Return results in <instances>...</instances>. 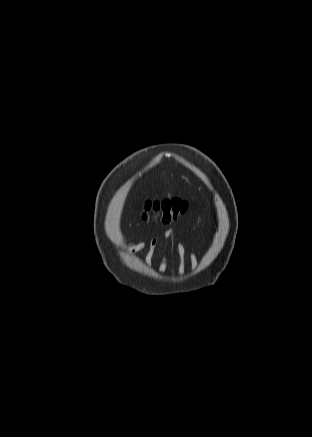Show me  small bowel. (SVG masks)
I'll return each instance as SVG.
<instances>
[{
  "label": "small bowel",
  "mask_w": 312,
  "mask_h": 437,
  "mask_svg": "<svg viewBox=\"0 0 312 437\" xmlns=\"http://www.w3.org/2000/svg\"><path fill=\"white\" fill-rule=\"evenodd\" d=\"M171 235H172V232H170V231L167 232V234H166L167 237H170ZM157 245H158V239L156 237L152 238L148 244L150 255H152L155 252ZM145 247H146V243L135 242L129 246L128 251L130 253H135V252L143 250Z\"/></svg>",
  "instance_id": "obj_1"
}]
</instances>
